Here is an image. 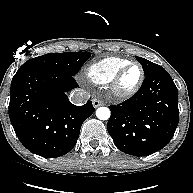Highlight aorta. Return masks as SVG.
<instances>
[{"label":"aorta","instance_id":"aorta-1","mask_svg":"<svg viewBox=\"0 0 193 193\" xmlns=\"http://www.w3.org/2000/svg\"><path fill=\"white\" fill-rule=\"evenodd\" d=\"M96 116L100 120H107L110 118V110L107 107H99L96 110Z\"/></svg>","mask_w":193,"mask_h":193}]
</instances>
